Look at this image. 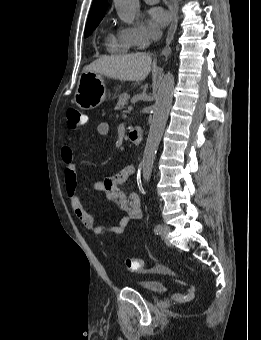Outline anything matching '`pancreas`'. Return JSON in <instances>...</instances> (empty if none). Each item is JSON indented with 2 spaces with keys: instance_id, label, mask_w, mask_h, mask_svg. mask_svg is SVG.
<instances>
[{
  "instance_id": "pancreas-1",
  "label": "pancreas",
  "mask_w": 261,
  "mask_h": 340,
  "mask_svg": "<svg viewBox=\"0 0 261 340\" xmlns=\"http://www.w3.org/2000/svg\"><path fill=\"white\" fill-rule=\"evenodd\" d=\"M129 99H130V95H128L127 93H123V94L119 95V99H118L117 105L115 107V110L122 109L128 103Z\"/></svg>"
}]
</instances>
